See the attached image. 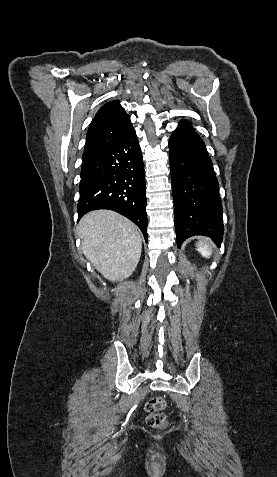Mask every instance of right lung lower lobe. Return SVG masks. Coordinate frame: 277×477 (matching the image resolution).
I'll return each instance as SVG.
<instances>
[{
  "instance_id": "1",
  "label": "right lung lower lobe",
  "mask_w": 277,
  "mask_h": 477,
  "mask_svg": "<svg viewBox=\"0 0 277 477\" xmlns=\"http://www.w3.org/2000/svg\"><path fill=\"white\" fill-rule=\"evenodd\" d=\"M78 219L109 209L133 221L147 241L144 164L132 127L114 144L82 158Z\"/></svg>"
}]
</instances>
